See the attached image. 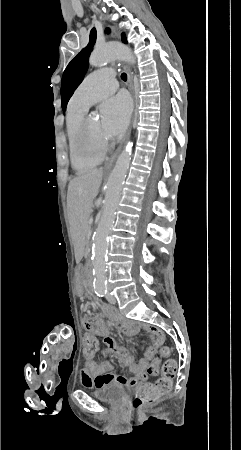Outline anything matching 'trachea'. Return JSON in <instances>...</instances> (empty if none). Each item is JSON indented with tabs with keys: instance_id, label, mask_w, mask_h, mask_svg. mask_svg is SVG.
<instances>
[{
	"instance_id": "trachea-1",
	"label": "trachea",
	"mask_w": 241,
	"mask_h": 450,
	"mask_svg": "<svg viewBox=\"0 0 241 450\" xmlns=\"http://www.w3.org/2000/svg\"><path fill=\"white\" fill-rule=\"evenodd\" d=\"M121 78H122V80H127V74L126 73H122Z\"/></svg>"
}]
</instances>
